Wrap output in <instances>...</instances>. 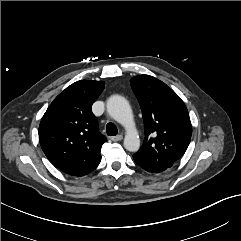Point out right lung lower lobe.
<instances>
[{
  "label": "right lung lower lobe",
  "mask_w": 241,
  "mask_h": 241,
  "mask_svg": "<svg viewBox=\"0 0 241 241\" xmlns=\"http://www.w3.org/2000/svg\"><path fill=\"white\" fill-rule=\"evenodd\" d=\"M94 169H95V168H94ZM94 169L88 170V171H86V172H84V173L80 174L79 176H84V175H86V174L90 173L91 171H93Z\"/></svg>",
  "instance_id": "obj_1"
}]
</instances>
